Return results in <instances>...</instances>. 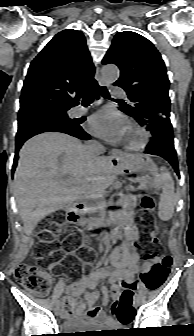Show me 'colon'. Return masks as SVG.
Returning <instances> with one entry per match:
<instances>
[{
	"label": "colon",
	"instance_id": "1",
	"mask_svg": "<svg viewBox=\"0 0 194 336\" xmlns=\"http://www.w3.org/2000/svg\"><path fill=\"white\" fill-rule=\"evenodd\" d=\"M154 201L151 197L142 198V210L138 221L142 233L138 239V246L143 251L146 259L154 262L151 268L142 265L140 275L145 286L154 290L159 288L167 278L172 258L165 254L161 238L165 236L155 219L152 217ZM64 223V214L55 212L42 220L37 227V250L40 257H49L53 263L60 266L63 260L62 243H67V231L60 227ZM17 281L35 296H46L51 286V275L44 266L21 264L15 271ZM118 292V291H117ZM131 289L124 288L120 291L125 300L131 298Z\"/></svg>",
	"mask_w": 194,
	"mask_h": 336
}]
</instances>
